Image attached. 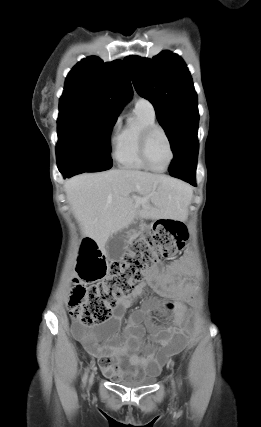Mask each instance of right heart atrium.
I'll use <instances>...</instances> for the list:
<instances>
[{
	"label": "right heart atrium",
	"mask_w": 261,
	"mask_h": 427,
	"mask_svg": "<svg viewBox=\"0 0 261 427\" xmlns=\"http://www.w3.org/2000/svg\"><path fill=\"white\" fill-rule=\"evenodd\" d=\"M119 121L115 120L110 129L109 142L112 147H116L118 139Z\"/></svg>",
	"instance_id": "right-heart-atrium-1"
}]
</instances>
